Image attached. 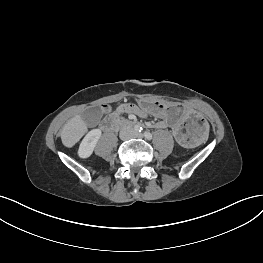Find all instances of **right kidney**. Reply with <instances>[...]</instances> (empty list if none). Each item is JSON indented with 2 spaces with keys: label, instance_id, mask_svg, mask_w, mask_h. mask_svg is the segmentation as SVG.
<instances>
[{
  "label": "right kidney",
  "instance_id": "right-kidney-1",
  "mask_svg": "<svg viewBox=\"0 0 263 263\" xmlns=\"http://www.w3.org/2000/svg\"><path fill=\"white\" fill-rule=\"evenodd\" d=\"M101 130L100 129H93L84 137L82 140L79 149L78 155L80 158H88L93 153L98 140L101 137Z\"/></svg>",
  "mask_w": 263,
  "mask_h": 263
}]
</instances>
